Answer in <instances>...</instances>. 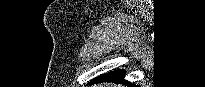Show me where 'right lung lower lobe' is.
<instances>
[{"label":"right lung lower lobe","mask_w":205,"mask_h":87,"mask_svg":"<svg viewBox=\"0 0 205 87\" xmlns=\"http://www.w3.org/2000/svg\"><path fill=\"white\" fill-rule=\"evenodd\" d=\"M124 75H125V71L123 70H117V71H113L101 76H98L97 78H94L90 84H94V83H99V82H103V81H112V82H120V83H128V81L124 80Z\"/></svg>","instance_id":"98d812e1"}]
</instances>
